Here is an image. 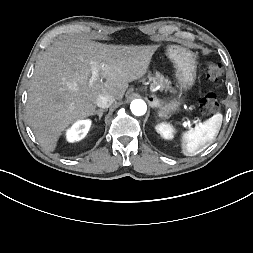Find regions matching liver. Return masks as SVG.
Wrapping results in <instances>:
<instances>
[{"mask_svg":"<svg viewBox=\"0 0 253 253\" xmlns=\"http://www.w3.org/2000/svg\"><path fill=\"white\" fill-rule=\"evenodd\" d=\"M158 45H108L70 37L55 42L37 61L26 104V119L41 147L56 149L73 123L92 116L96 99L122 100L128 82L145 75ZM92 63L106 81L89 84Z\"/></svg>","mask_w":253,"mask_h":253,"instance_id":"1","label":"liver"}]
</instances>
